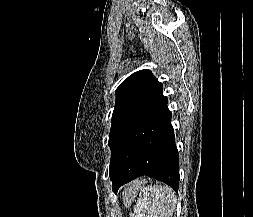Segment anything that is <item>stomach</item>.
Returning a JSON list of instances; mask_svg holds the SVG:
<instances>
[{"label": "stomach", "mask_w": 253, "mask_h": 217, "mask_svg": "<svg viewBox=\"0 0 253 217\" xmlns=\"http://www.w3.org/2000/svg\"><path fill=\"white\" fill-rule=\"evenodd\" d=\"M135 198H136V192H135V195H134V197H133V200H132L130 203H126L125 205H126L127 207H129V206L131 205V203L134 201Z\"/></svg>", "instance_id": "1"}]
</instances>
